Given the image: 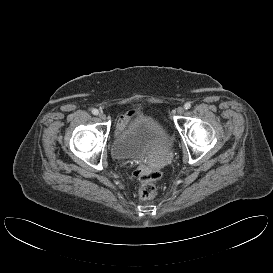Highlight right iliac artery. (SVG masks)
I'll list each match as a JSON object with an SVG mask.
<instances>
[{"label":"right iliac artery","instance_id":"obj_1","mask_svg":"<svg viewBox=\"0 0 273 273\" xmlns=\"http://www.w3.org/2000/svg\"><path fill=\"white\" fill-rule=\"evenodd\" d=\"M92 113H93L94 115H98V114H99V111H98L97 109H92Z\"/></svg>","mask_w":273,"mask_h":273}]
</instances>
